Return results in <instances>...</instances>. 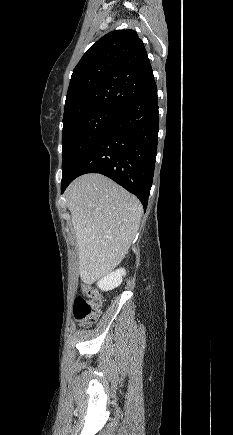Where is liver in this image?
I'll list each match as a JSON object with an SVG mask.
<instances>
[{
  "instance_id": "liver-1",
  "label": "liver",
  "mask_w": 233,
  "mask_h": 435,
  "mask_svg": "<svg viewBox=\"0 0 233 435\" xmlns=\"http://www.w3.org/2000/svg\"><path fill=\"white\" fill-rule=\"evenodd\" d=\"M76 233L79 274L91 283L125 257L141 220L136 196L101 174H85L65 192Z\"/></svg>"
}]
</instances>
